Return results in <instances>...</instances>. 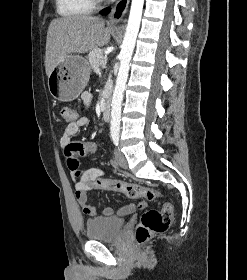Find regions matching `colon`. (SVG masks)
<instances>
[{
    "instance_id": "5ec220e1",
    "label": "colon",
    "mask_w": 247,
    "mask_h": 280,
    "mask_svg": "<svg viewBox=\"0 0 247 280\" xmlns=\"http://www.w3.org/2000/svg\"><path fill=\"white\" fill-rule=\"evenodd\" d=\"M62 117L68 124L75 123L79 118L78 111L72 106H65L61 109ZM96 142H71L66 148L65 155L67 158L68 168L77 178L83 173L79 170V161L76 155L87 156L93 155L98 150ZM83 186L87 190L93 188H103L111 191L124 193L128 198L139 199L144 198L152 201L162 197L161 192L153 188H146L136 183H125L118 180H110L108 176L95 177L85 179ZM173 208L171 203L165 202L161 209L146 210L136 229V240L138 243H144L152 236L165 232L172 222Z\"/></svg>"
}]
</instances>
